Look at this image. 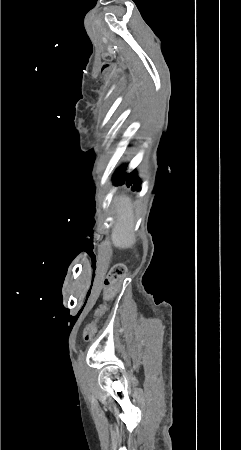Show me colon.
Segmentation results:
<instances>
[{"instance_id": "5ec220e1", "label": "colon", "mask_w": 241, "mask_h": 450, "mask_svg": "<svg viewBox=\"0 0 241 450\" xmlns=\"http://www.w3.org/2000/svg\"><path fill=\"white\" fill-rule=\"evenodd\" d=\"M127 268L123 263L115 264L106 274L105 283H104V292L105 296L100 299V304L97 308V311L94 314V319L91 321L85 329L84 332V341L87 346L89 341L92 340L94 333L96 331L95 319L104 311L103 306H109L111 303V295L114 294L118 288L119 282L126 276Z\"/></svg>"}]
</instances>
